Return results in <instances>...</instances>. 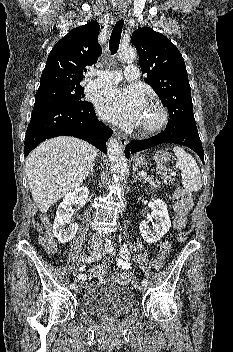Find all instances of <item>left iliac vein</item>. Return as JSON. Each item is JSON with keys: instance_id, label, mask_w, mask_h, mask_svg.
I'll return each instance as SVG.
<instances>
[{"instance_id": "left-iliac-vein-1", "label": "left iliac vein", "mask_w": 233, "mask_h": 352, "mask_svg": "<svg viewBox=\"0 0 233 352\" xmlns=\"http://www.w3.org/2000/svg\"><path fill=\"white\" fill-rule=\"evenodd\" d=\"M139 290H140L141 292H145V290H146V286L141 285V286L139 287Z\"/></svg>"}]
</instances>
